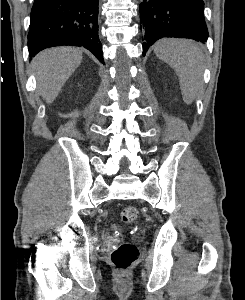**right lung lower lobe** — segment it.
I'll use <instances>...</instances> for the list:
<instances>
[{"label":"right lung lower lobe","instance_id":"right-lung-lower-lobe-1","mask_svg":"<svg viewBox=\"0 0 245 300\" xmlns=\"http://www.w3.org/2000/svg\"><path fill=\"white\" fill-rule=\"evenodd\" d=\"M97 6L98 0H35L28 33L30 55L53 46H83L104 64Z\"/></svg>","mask_w":245,"mask_h":300}]
</instances>
